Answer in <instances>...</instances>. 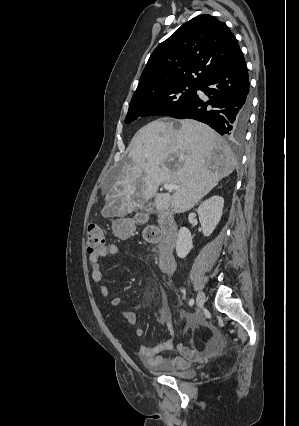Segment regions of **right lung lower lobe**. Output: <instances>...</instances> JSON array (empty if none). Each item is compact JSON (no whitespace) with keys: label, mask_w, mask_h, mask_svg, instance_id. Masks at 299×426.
<instances>
[{"label":"right lung lower lobe","mask_w":299,"mask_h":426,"mask_svg":"<svg viewBox=\"0 0 299 426\" xmlns=\"http://www.w3.org/2000/svg\"><path fill=\"white\" fill-rule=\"evenodd\" d=\"M198 89L209 100L200 98L196 93L170 116L192 118L208 124L221 135L241 138L251 110L248 72L242 52L229 65L208 76Z\"/></svg>","instance_id":"98d812e1"}]
</instances>
